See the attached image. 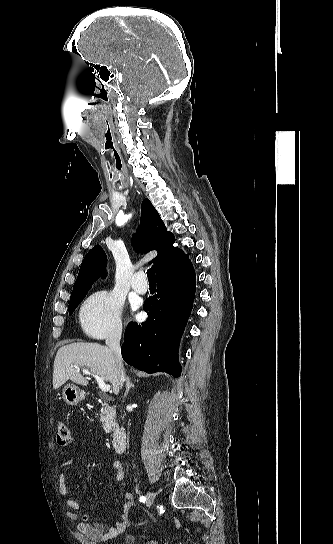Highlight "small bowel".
I'll use <instances>...</instances> for the list:
<instances>
[{"mask_svg": "<svg viewBox=\"0 0 333 544\" xmlns=\"http://www.w3.org/2000/svg\"><path fill=\"white\" fill-rule=\"evenodd\" d=\"M71 464V459L64 460L58 471L59 492L65 505L70 509L67 512V517L72 521H77L78 531L93 541L98 542L117 537L129 524V513L133 501L132 493L126 492L124 494L125 502L122 504V513L113 525L95 521L89 514L81 515V507L77 501L70 497L67 487V472ZM112 467L115 470V481L121 482L125 477L122 463L116 460L112 463Z\"/></svg>", "mask_w": 333, "mask_h": 544, "instance_id": "1", "label": "small bowel"}]
</instances>
